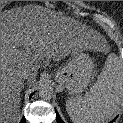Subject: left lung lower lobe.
Masks as SVG:
<instances>
[{
  "label": "left lung lower lobe",
  "mask_w": 123,
  "mask_h": 123,
  "mask_svg": "<svg viewBox=\"0 0 123 123\" xmlns=\"http://www.w3.org/2000/svg\"><path fill=\"white\" fill-rule=\"evenodd\" d=\"M56 117H57V122L58 123H64L62 120H61V118L59 117V115H58V113L56 112ZM113 122V121H112ZM112 122H110V123H112Z\"/></svg>",
  "instance_id": "0a47b994"
}]
</instances>
